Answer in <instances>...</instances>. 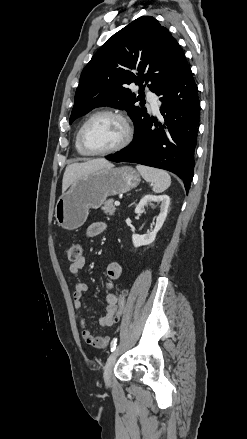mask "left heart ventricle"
Masks as SVG:
<instances>
[{
    "mask_svg": "<svg viewBox=\"0 0 247 439\" xmlns=\"http://www.w3.org/2000/svg\"><path fill=\"white\" fill-rule=\"evenodd\" d=\"M122 122L113 116H99L85 130V143L93 151H104L117 146L124 138Z\"/></svg>",
    "mask_w": 247,
    "mask_h": 439,
    "instance_id": "obj_1",
    "label": "left heart ventricle"
}]
</instances>
